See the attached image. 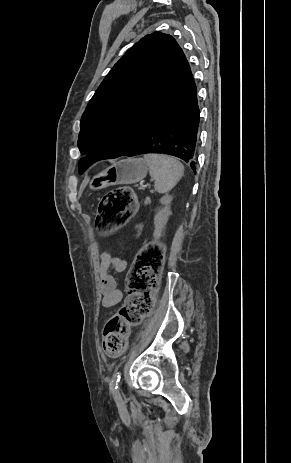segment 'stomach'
Returning <instances> with one entry per match:
<instances>
[{"instance_id": "1", "label": "stomach", "mask_w": 291, "mask_h": 463, "mask_svg": "<svg viewBox=\"0 0 291 463\" xmlns=\"http://www.w3.org/2000/svg\"><path fill=\"white\" fill-rule=\"evenodd\" d=\"M148 171L147 163L141 159L119 161L96 175L90 182L93 190L119 184H134L143 180Z\"/></svg>"}]
</instances>
